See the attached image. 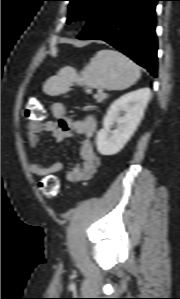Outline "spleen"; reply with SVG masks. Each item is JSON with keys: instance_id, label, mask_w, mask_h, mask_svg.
Masks as SVG:
<instances>
[{"instance_id": "obj_1", "label": "spleen", "mask_w": 180, "mask_h": 299, "mask_svg": "<svg viewBox=\"0 0 180 299\" xmlns=\"http://www.w3.org/2000/svg\"><path fill=\"white\" fill-rule=\"evenodd\" d=\"M140 78L139 66L116 50L98 51L77 74L74 68L64 67L48 79L44 89L51 96L64 94L73 83L91 88L124 90Z\"/></svg>"}]
</instances>
